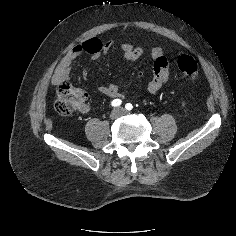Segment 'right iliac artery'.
<instances>
[{
  "label": "right iliac artery",
  "instance_id": "1",
  "mask_svg": "<svg viewBox=\"0 0 236 236\" xmlns=\"http://www.w3.org/2000/svg\"><path fill=\"white\" fill-rule=\"evenodd\" d=\"M121 103H122V101H121L120 99H114V100L111 102V105H112L113 107H118V106L121 105Z\"/></svg>",
  "mask_w": 236,
  "mask_h": 236
}]
</instances>
